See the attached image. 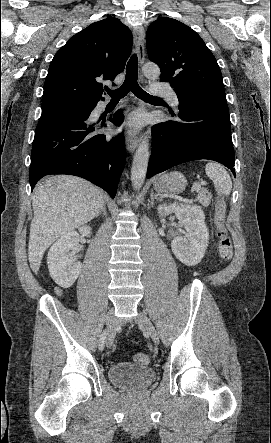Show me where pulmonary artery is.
<instances>
[{"label": "pulmonary artery", "instance_id": "obj_1", "mask_svg": "<svg viewBox=\"0 0 271 443\" xmlns=\"http://www.w3.org/2000/svg\"><path fill=\"white\" fill-rule=\"evenodd\" d=\"M157 94L166 96L174 106H177L179 104V99L172 89H169L165 92H158ZM108 103L109 101L107 100L98 102L94 109V113L98 114L99 112H101L108 105ZM120 103H122V101Z\"/></svg>", "mask_w": 271, "mask_h": 443}]
</instances>
